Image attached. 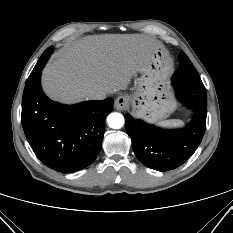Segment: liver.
I'll list each match as a JSON object with an SVG mask.
<instances>
[{"instance_id":"6515ba94","label":"liver","mask_w":233,"mask_h":233,"mask_svg":"<svg viewBox=\"0 0 233 233\" xmlns=\"http://www.w3.org/2000/svg\"><path fill=\"white\" fill-rule=\"evenodd\" d=\"M158 48L153 38L142 34L92 35L69 42L44 68L43 90L66 104L91 99L100 89L125 90Z\"/></svg>"}]
</instances>
